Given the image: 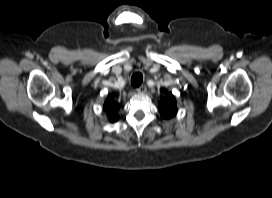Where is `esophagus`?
I'll return each mask as SVG.
<instances>
[{
    "label": "esophagus",
    "mask_w": 272,
    "mask_h": 198,
    "mask_svg": "<svg viewBox=\"0 0 272 198\" xmlns=\"http://www.w3.org/2000/svg\"><path fill=\"white\" fill-rule=\"evenodd\" d=\"M137 93L139 94H144L146 92V87L145 86H140L136 89Z\"/></svg>",
    "instance_id": "obj_1"
}]
</instances>
